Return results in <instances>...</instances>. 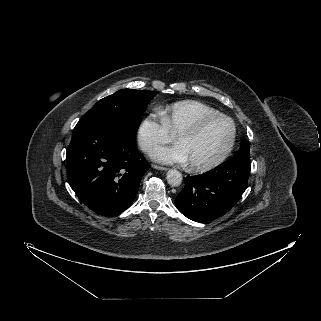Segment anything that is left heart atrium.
Segmentation results:
<instances>
[{"instance_id":"1","label":"left heart atrium","mask_w":321,"mask_h":321,"mask_svg":"<svg viewBox=\"0 0 321 321\" xmlns=\"http://www.w3.org/2000/svg\"><path fill=\"white\" fill-rule=\"evenodd\" d=\"M151 157L158 162L165 164H176L189 162L186 147L177 143L171 147H158L151 151Z\"/></svg>"}]
</instances>
